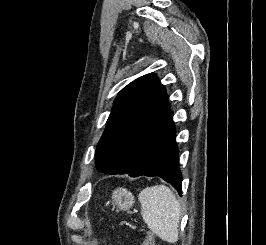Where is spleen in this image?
I'll use <instances>...</instances> for the list:
<instances>
[{"label":"spleen","instance_id":"obj_1","mask_svg":"<svg viewBox=\"0 0 266 245\" xmlns=\"http://www.w3.org/2000/svg\"><path fill=\"white\" fill-rule=\"evenodd\" d=\"M141 215L148 229L167 243H177L181 207L173 191L165 185L146 187L139 193Z\"/></svg>","mask_w":266,"mask_h":245}]
</instances>
